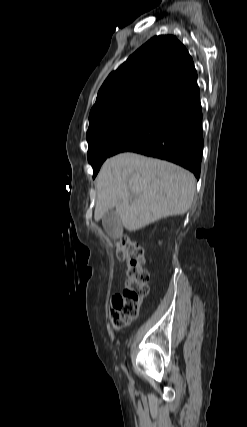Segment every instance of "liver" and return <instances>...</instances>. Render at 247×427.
<instances>
[{"mask_svg": "<svg viewBox=\"0 0 247 427\" xmlns=\"http://www.w3.org/2000/svg\"><path fill=\"white\" fill-rule=\"evenodd\" d=\"M195 177L173 163L126 152L107 159L96 178L95 221L115 208L128 231L168 216L185 214Z\"/></svg>", "mask_w": 247, "mask_h": 427, "instance_id": "obj_1", "label": "liver"}]
</instances>
